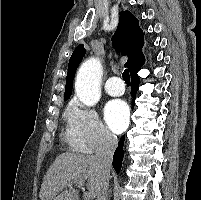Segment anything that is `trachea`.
<instances>
[{
  "label": "trachea",
  "instance_id": "trachea-1",
  "mask_svg": "<svg viewBox=\"0 0 201 200\" xmlns=\"http://www.w3.org/2000/svg\"><path fill=\"white\" fill-rule=\"evenodd\" d=\"M122 77H123V80L125 81V83L127 85H130V74H129V71L128 69H125L123 74H122Z\"/></svg>",
  "mask_w": 201,
  "mask_h": 200
}]
</instances>
